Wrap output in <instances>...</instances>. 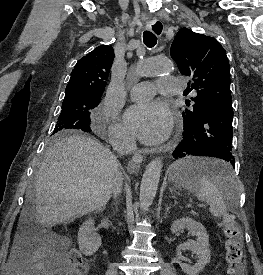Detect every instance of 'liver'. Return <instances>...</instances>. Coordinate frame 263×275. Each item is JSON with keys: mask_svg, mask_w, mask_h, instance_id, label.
Instances as JSON below:
<instances>
[{"mask_svg": "<svg viewBox=\"0 0 263 275\" xmlns=\"http://www.w3.org/2000/svg\"><path fill=\"white\" fill-rule=\"evenodd\" d=\"M118 171L116 156L96 139L61 137L46 151L36 175V222L53 226L103 211ZM28 210L29 206L23 208L21 219Z\"/></svg>", "mask_w": 263, "mask_h": 275, "instance_id": "6515ba94", "label": "liver"}]
</instances>
